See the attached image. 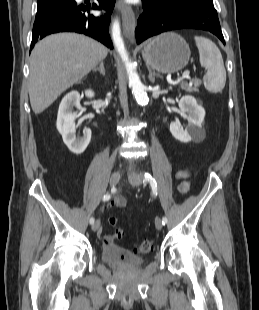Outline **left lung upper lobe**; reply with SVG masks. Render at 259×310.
<instances>
[{
	"mask_svg": "<svg viewBox=\"0 0 259 310\" xmlns=\"http://www.w3.org/2000/svg\"><path fill=\"white\" fill-rule=\"evenodd\" d=\"M159 6L163 7H175L179 5L189 4V3H196V2H204V3H211L213 4L212 0H151Z\"/></svg>",
	"mask_w": 259,
	"mask_h": 310,
	"instance_id": "5c2ea615",
	"label": "left lung upper lobe"
}]
</instances>
